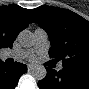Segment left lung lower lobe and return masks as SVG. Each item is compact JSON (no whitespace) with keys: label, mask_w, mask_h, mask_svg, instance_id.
Instances as JSON below:
<instances>
[{"label":"left lung lower lobe","mask_w":89,"mask_h":89,"mask_svg":"<svg viewBox=\"0 0 89 89\" xmlns=\"http://www.w3.org/2000/svg\"><path fill=\"white\" fill-rule=\"evenodd\" d=\"M47 75L38 82L40 89H89V70L67 69L56 72L46 68Z\"/></svg>","instance_id":"0a47b994"}]
</instances>
